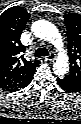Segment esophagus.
<instances>
[{"instance_id":"obj_1","label":"esophagus","mask_w":81,"mask_h":124,"mask_svg":"<svg viewBox=\"0 0 81 124\" xmlns=\"http://www.w3.org/2000/svg\"><path fill=\"white\" fill-rule=\"evenodd\" d=\"M55 59V53L51 52L50 55L48 56L47 60L53 61Z\"/></svg>"}]
</instances>
